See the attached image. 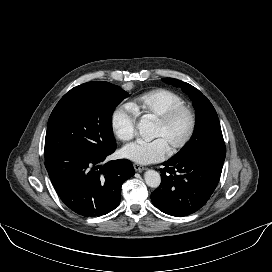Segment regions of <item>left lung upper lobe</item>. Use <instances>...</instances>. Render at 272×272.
I'll return each mask as SVG.
<instances>
[{
    "label": "left lung upper lobe",
    "mask_w": 272,
    "mask_h": 272,
    "mask_svg": "<svg viewBox=\"0 0 272 272\" xmlns=\"http://www.w3.org/2000/svg\"><path fill=\"white\" fill-rule=\"evenodd\" d=\"M167 84L180 87L193 101L196 114V128L191 140L172 159L193 156L218 164L224 163L226 148L217 113L207 99L192 85L174 79L162 78Z\"/></svg>",
    "instance_id": "1"
}]
</instances>
